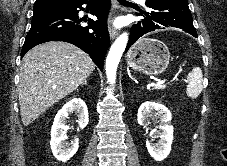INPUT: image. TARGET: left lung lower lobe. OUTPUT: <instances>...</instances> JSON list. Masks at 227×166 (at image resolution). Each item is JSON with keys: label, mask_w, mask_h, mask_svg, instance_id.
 <instances>
[{"label": "left lung lower lobe", "mask_w": 227, "mask_h": 166, "mask_svg": "<svg viewBox=\"0 0 227 166\" xmlns=\"http://www.w3.org/2000/svg\"><path fill=\"white\" fill-rule=\"evenodd\" d=\"M146 6L151 11L137 13L145 16V19L132 26L125 51L144 34L160 29L180 28L195 38L198 37L187 0H146Z\"/></svg>", "instance_id": "obj_1"}]
</instances>
